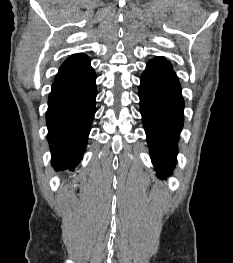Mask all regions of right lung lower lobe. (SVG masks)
<instances>
[{
	"instance_id": "right-lung-lower-lobe-1",
	"label": "right lung lower lobe",
	"mask_w": 233,
	"mask_h": 263,
	"mask_svg": "<svg viewBox=\"0 0 233 263\" xmlns=\"http://www.w3.org/2000/svg\"><path fill=\"white\" fill-rule=\"evenodd\" d=\"M96 75L88 65L59 71L48 98L47 140L55 170H74L82 158L95 114Z\"/></svg>"
}]
</instances>
